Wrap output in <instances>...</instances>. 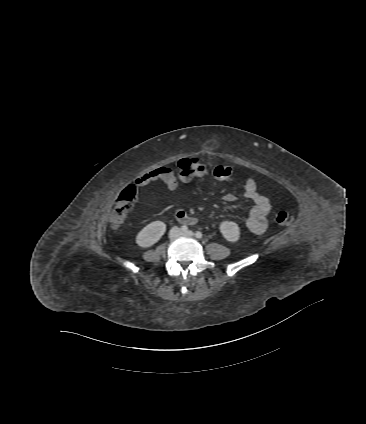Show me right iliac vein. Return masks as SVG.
<instances>
[{
    "mask_svg": "<svg viewBox=\"0 0 366 424\" xmlns=\"http://www.w3.org/2000/svg\"><path fill=\"white\" fill-rule=\"evenodd\" d=\"M179 235H181V231L178 228H173L169 233V237L171 239H174L178 237Z\"/></svg>",
    "mask_w": 366,
    "mask_h": 424,
    "instance_id": "right-iliac-vein-1",
    "label": "right iliac vein"
}]
</instances>
